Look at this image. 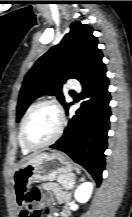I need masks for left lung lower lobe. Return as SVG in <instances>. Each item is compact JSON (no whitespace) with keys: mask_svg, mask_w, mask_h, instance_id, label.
<instances>
[{"mask_svg":"<svg viewBox=\"0 0 132 217\" xmlns=\"http://www.w3.org/2000/svg\"><path fill=\"white\" fill-rule=\"evenodd\" d=\"M81 84L83 92L80 96L86 100L68 122L63 136L51 148L68 154L86 168L99 185L105 166L104 151L111 115L105 65L102 63Z\"/></svg>","mask_w":132,"mask_h":217,"instance_id":"1","label":"left lung lower lobe"}]
</instances>
